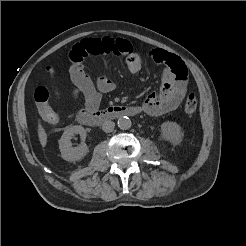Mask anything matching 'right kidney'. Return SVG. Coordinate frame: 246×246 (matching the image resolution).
Returning <instances> with one entry per match:
<instances>
[{
  "label": "right kidney",
  "instance_id": "ca27d5eb",
  "mask_svg": "<svg viewBox=\"0 0 246 246\" xmlns=\"http://www.w3.org/2000/svg\"><path fill=\"white\" fill-rule=\"evenodd\" d=\"M75 134H79L83 141L86 138V130L82 126H72L64 131L59 140L61 157L66 161L80 160L89 152V148L84 142L78 147H72L71 139Z\"/></svg>",
  "mask_w": 246,
  "mask_h": 246
}]
</instances>
